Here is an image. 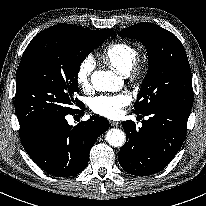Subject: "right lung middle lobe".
<instances>
[{
    "label": "right lung middle lobe",
    "mask_w": 206,
    "mask_h": 206,
    "mask_svg": "<svg viewBox=\"0 0 206 206\" xmlns=\"http://www.w3.org/2000/svg\"><path fill=\"white\" fill-rule=\"evenodd\" d=\"M113 30L93 33L59 24L39 33L25 49L16 77L15 110L19 125L60 117L81 106L75 98L78 72L85 57Z\"/></svg>",
    "instance_id": "right-lung-middle-lobe-1"
}]
</instances>
